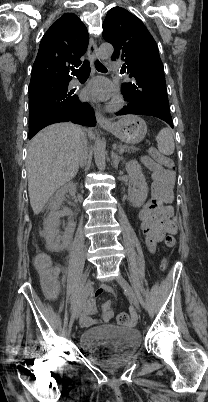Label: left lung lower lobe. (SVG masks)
Instances as JSON below:
<instances>
[{"mask_svg":"<svg viewBox=\"0 0 208 402\" xmlns=\"http://www.w3.org/2000/svg\"><path fill=\"white\" fill-rule=\"evenodd\" d=\"M126 114L154 116L164 120L173 128V121L170 112L161 107L144 105V104H135L128 101L127 105L124 106L122 110L116 113V115H126Z\"/></svg>","mask_w":208,"mask_h":402,"instance_id":"left-lung-lower-lobe-1","label":"left lung lower lobe"}]
</instances>
